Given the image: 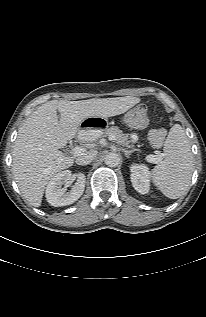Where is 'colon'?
<instances>
[{"instance_id": "1", "label": "colon", "mask_w": 206, "mask_h": 317, "mask_svg": "<svg viewBox=\"0 0 206 317\" xmlns=\"http://www.w3.org/2000/svg\"><path fill=\"white\" fill-rule=\"evenodd\" d=\"M123 122L133 128H143L146 126L148 122V113L147 108L143 105H138L128 111L124 117ZM166 136V129L165 128H158L153 130L150 133V142L154 147H159L164 138Z\"/></svg>"}]
</instances>
